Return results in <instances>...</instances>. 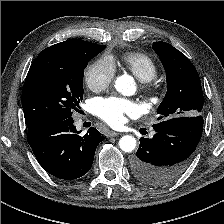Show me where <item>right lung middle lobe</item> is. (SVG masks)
<instances>
[{
  "label": "right lung middle lobe",
  "instance_id": "right-lung-middle-lobe-1",
  "mask_svg": "<svg viewBox=\"0 0 224 224\" xmlns=\"http://www.w3.org/2000/svg\"><path fill=\"white\" fill-rule=\"evenodd\" d=\"M105 45L71 54L40 53L33 61L22 90L25 122L71 119L83 99L84 68Z\"/></svg>",
  "mask_w": 224,
  "mask_h": 224
}]
</instances>
